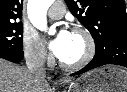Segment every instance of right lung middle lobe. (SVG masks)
Returning <instances> with one entry per match:
<instances>
[{"label":"right lung middle lobe","mask_w":127,"mask_h":92,"mask_svg":"<svg viewBox=\"0 0 127 92\" xmlns=\"http://www.w3.org/2000/svg\"><path fill=\"white\" fill-rule=\"evenodd\" d=\"M22 35L23 26L21 23L0 25V47L13 51H23Z\"/></svg>","instance_id":"1"}]
</instances>
